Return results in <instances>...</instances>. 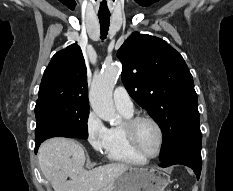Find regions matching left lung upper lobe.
I'll list each match as a JSON object with an SVG mask.
<instances>
[{"label":"left lung upper lobe","mask_w":233,"mask_h":191,"mask_svg":"<svg viewBox=\"0 0 233 191\" xmlns=\"http://www.w3.org/2000/svg\"><path fill=\"white\" fill-rule=\"evenodd\" d=\"M132 99L163 132L161 160L189 141H202L192 75L173 47L158 37L132 33L117 52Z\"/></svg>","instance_id":"1"}]
</instances>
